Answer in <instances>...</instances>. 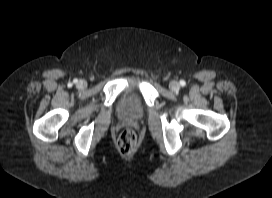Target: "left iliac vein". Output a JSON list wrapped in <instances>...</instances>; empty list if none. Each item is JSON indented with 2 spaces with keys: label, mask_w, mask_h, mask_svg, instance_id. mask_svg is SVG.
Masks as SVG:
<instances>
[{
  "label": "left iliac vein",
  "mask_w": 272,
  "mask_h": 198,
  "mask_svg": "<svg viewBox=\"0 0 272 198\" xmlns=\"http://www.w3.org/2000/svg\"><path fill=\"white\" fill-rule=\"evenodd\" d=\"M169 87L173 91H178L180 89V84L177 81H171Z\"/></svg>",
  "instance_id": "left-iliac-vein-1"
}]
</instances>
